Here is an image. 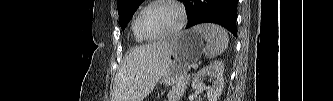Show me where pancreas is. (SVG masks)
<instances>
[{"label": "pancreas", "instance_id": "pancreas-1", "mask_svg": "<svg viewBox=\"0 0 333 101\" xmlns=\"http://www.w3.org/2000/svg\"><path fill=\"white\" fill-rule=\"evenodd\" d=\"M189 81V75H184L180 80L172 87L168 93V101H179L187 87Z\"/></svg>", "mask_w": 333, "mask_h": 101}]
</instances>
